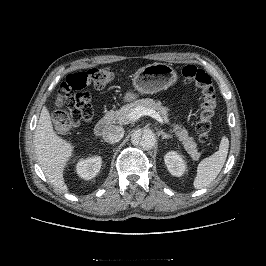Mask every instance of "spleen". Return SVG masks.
<instances>
[{
  "label": "spleen",
  "instance_id": "spleen-1",
  "mask_svg": "<svg viewBox=\"0 0 266 266\" xmlns=\"http://www.w3.org/2000/svg\"><path fill=\"white\" fill-rule=\"evenodd\" d=\"M228 148L229 140L223 137L219 150L198 164L197 175L193 182L195 189L207 187L216 179L225 164Z\"/></svg>",
  "mask_w": 266,
  "mask_h": 266
}]
</instances>
